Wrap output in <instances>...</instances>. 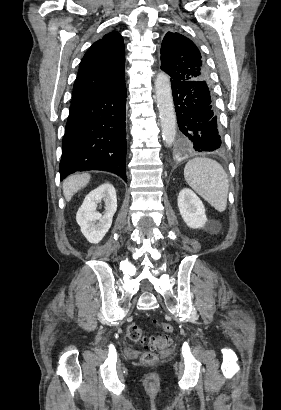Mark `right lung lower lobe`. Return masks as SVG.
<instances>
[{"label":"right lung lower lobe","mask_w":281,"mask_h":410,"mask_svg":"<svg viewBox=\"0 0 281 410\" xmlns=\"http://www.w3.org/2000/svg\"><path fill=\"white\" fill-rule=\"evenodd\" d=\"M126 97L124 83L70 106L60 180L76 171L103 170L126 181Z\"/></svg>","instance_id":"obj_1"}]
</instances>
